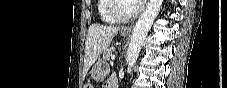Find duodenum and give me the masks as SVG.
Returning <instances> with one entry per match:
<instances>
[{"label":"duodenum","instance_id":"1","mask_svg":"<svg viewBox=\"0 0 227 88\" xmlns=\"http://www.w3.org/2000/svg\"><path fill=\"white\" fill-rule=\"evenodd\" d=\"M116 83H117V79H115V80L113 81V86H115Z\"/></svg>","mask_w":227,"mask_h":88}]
</instances>
